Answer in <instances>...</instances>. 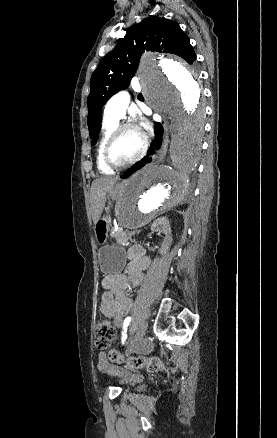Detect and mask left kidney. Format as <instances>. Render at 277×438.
<instances>
[{"label": "left kidney", "mask_w": 277, "mask_h": 438, "mask_svg": "<svg viewBox=\"0 0 277 438\" xmlns=\"http://www.w3.org/2000/svg\"><path fill=\"white\" fill-rule=\"evenodd\" d=\"M151 230L152 232H163V234H165L166 238L165 240H167L168 242V246L167 248H169V246H171L172 244V236H171V226L169 224V220L168 218H157V220H154L152 226H151Z\"/></svg>", "instance_id": "5707ae66"}]
</instances>
